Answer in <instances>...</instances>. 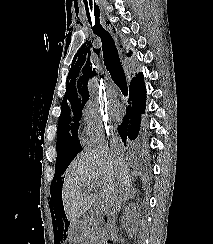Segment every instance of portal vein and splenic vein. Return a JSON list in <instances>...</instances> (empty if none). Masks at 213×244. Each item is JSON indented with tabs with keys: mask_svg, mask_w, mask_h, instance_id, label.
Returning a JSON list of instances; mask_svg holds the SVG:
<instances>
[{
	"mask_svg": "<svg viewBox=\"0 0 213 244\" xmlns=\"http://www.w3.org/2000/svg\"><path fill=\"white\" fill-rule=\"evenodd\" d=\"M92 187L93 188H96L97 187V183L93 184Z\"/></svg>",
	"mask_w": 213,
	"mask_h": 244,
	"instance_id": "portal-vein-and-splenic-vein-1",
	"label": "portal vein and splenic vein"
}]
</instances>
